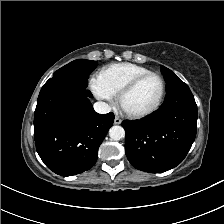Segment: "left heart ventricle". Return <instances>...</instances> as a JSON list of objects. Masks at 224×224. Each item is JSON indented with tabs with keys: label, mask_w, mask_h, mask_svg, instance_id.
I'll list each match as a JSON object with an SVG mask.
<instances>
[{
	"label": "left heart ventricle",
	"mask_w": 224,
	"mask_h": 224,
	"mask_svg": "<svg viewBox=\"0 0 224 224\" xmlns=\"http://www.w3.org/2000/svg\"><path fill=\"white\" fill-rule=\"evenodd\" d=\"M160 82L156 77L143 80L122 101L123 108L128 112H139L149 109L160 94Z\"/></svg>",
	"instance_id": "1"
}]
</instances>
